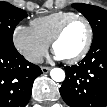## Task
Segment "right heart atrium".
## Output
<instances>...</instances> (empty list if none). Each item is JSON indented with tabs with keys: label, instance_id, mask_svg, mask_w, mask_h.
Here are the masks:
<instances>
[{
	"label": "right heart atrium",
	"instance_id": "obj_1",
	"mask_svg": "<svg viewBox=\"0 0 107 107\" xmlns=\"http://www.w3.org/2000/svg\"><path fill=\"white\" fill-rule=\"evenodd\" d=\"M12 39L16 49L31 63H39L48 52L49 44L40 39L29 26L17 25Z\"/></svg>",
	"mask_w": 107,
	"mask_h": 107
}]
</instances>
